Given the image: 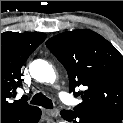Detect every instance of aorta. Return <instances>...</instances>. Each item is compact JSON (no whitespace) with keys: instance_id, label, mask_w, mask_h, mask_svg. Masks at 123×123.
<instances>
[{"instance_id":"aorta-1","label":"aorta","mask_w":123,"mask_h":123,"mask_svg":"<svg viewBox=\"0 0 123 123\" xmlns=\"http://www.w3.org/2000/svg\"><path fill=\"white\" fill-rule=\"evenodd\" d=\"M29 72L32 78L40 82H51L55 76L52 66L42 59L32 61L29 64Z\"/></svg>"}]
</instances>
